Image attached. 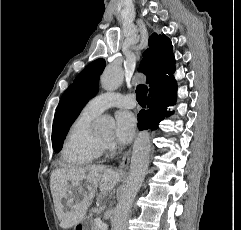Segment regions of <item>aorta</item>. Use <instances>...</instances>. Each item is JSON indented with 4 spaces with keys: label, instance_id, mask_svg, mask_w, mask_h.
<instances>
[{
    "label": "aorta",
    "instance_id": "762f6f07",
    "mask_svg": "<svg viewBox=\"0 0 241 230\" xmlns=\"http://www.w3.org/2000/svg\"><path fill=\"white\" fill-rule=\"evenodd\" d=\"M123 78L121 67L109 66L101 75L100 83L106 91H114L121 86ZM114 127V119L107 115L99 117L95 122V131L99 134H111ZM150 150L151 143L149 134L141 132L133 145L128 178L113 213L111 230H126L128 215L132 208L133 201L147 174Z\"/></svg>",
    "mask_w": 241,
    "mask_h": 230
}]
</instances>
